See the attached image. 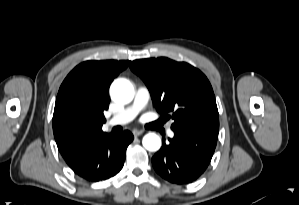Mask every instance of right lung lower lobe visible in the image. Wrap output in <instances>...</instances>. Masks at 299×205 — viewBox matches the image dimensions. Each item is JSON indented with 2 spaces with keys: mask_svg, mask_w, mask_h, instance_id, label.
<instances>
[{
  "mask_svg": "<svg viewBox=\"0 0 299 205\" xmlns=\"http://www.w3.org/2000/svg\"><path fill=\"white\" fill-rule=\"evenodd\" d=\"M129 131L120 136L107 134L80 151L69 167L80 177L97 182L113 177L122 169L126 149L133 140Z\"/></svg>",
  "mask_w": 299,
  "mask_h": 205,
  "instance_id": "1",
  "label": "right lung lower lobe"
}]
</instances>
